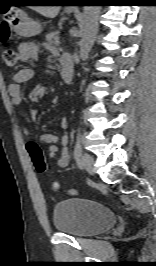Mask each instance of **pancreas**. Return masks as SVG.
Masks as SVG:
<instances>
[{
	"label": "pancreas",
	"instance_id": "cf45deb5",
	"mask_svg": "<svg viewBox=\"0 0 156 266\" xmlns=\"http://www.w3.org/2000/svg\"><path fill=\"white\" fill-rule=\"evenodd\" d=\"M47 45H56V42L59 41V32H51L45 36Z\"/></svg>",
	"mask_w": 156,
	"mask_h": 266
}]
</instances>
